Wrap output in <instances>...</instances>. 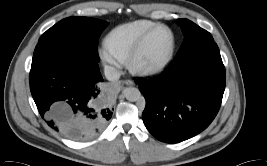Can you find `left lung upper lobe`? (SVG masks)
Returning <instances> with one entry per match:
<instances>
[{
  "label": "left lung upper lobe",
  "instance_id": "left-lung-upper-lobe-1",
  "mask_svg": "<svg viewBox=\"0 0 267 166\" xmlns=\"http://www.w3.org/2000/svg\"><path fill=\"white\" fill-rule=\"evenodd\" d=\"M177 23L181 26L185 38L176 59L184 57L204 43L214 42L209 32L200 28L192 21L188 19H178Z\"/></svg>",
  "mask_w": 267,
  "mask_h": 166
}]
</instances>
